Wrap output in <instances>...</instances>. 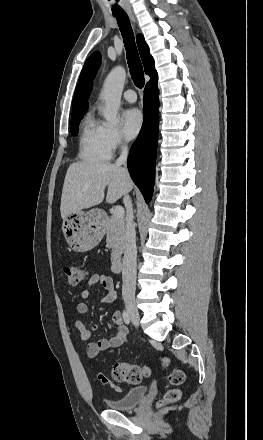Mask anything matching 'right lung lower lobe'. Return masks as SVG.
Instances as JSON below:
<instances>
[{
  "label": "right lung lower lobe",
  "mask_w": 263,
  "mask_h": 440,
  "mask_svg": "<svg viewBox=\"0 0 263 440\" xmlns=\"http://www.w3.org/2000/svg\"><path fill=\"white\" fill-rule=\"evenodd\" d=\"M158 77L150 80L144 90V120L137 140L128 157L131 178L145 201L151 200L154 186L155 159L158 139Z\"/></svg>",
  "instance_id": "right-lung-lower-lobe-1"
}]
</instances>
